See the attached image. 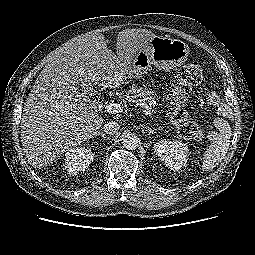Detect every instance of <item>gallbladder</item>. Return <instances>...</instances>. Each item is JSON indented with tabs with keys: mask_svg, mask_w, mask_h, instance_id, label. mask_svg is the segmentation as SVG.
I'll list each match as a JSON object with an SVG mask.
<instances>
[{
	"mask_svg": "<svg viewBox=\"0 0 255 255\" xmlns=\"http://www.w3.org/2000/svg\"><path fill=\"white\" fill-rule=\"evenodd\" d=\"M80 89L82 90L83 94L90 100H96V91H94L92 85L80 83Z\"/></svg>",
	"mask_w": 255,
	"mask_h": 255,
	"instance_id": "gallbladder-1",
	"label": "gallbladder"
}]
</instances>
